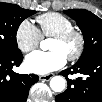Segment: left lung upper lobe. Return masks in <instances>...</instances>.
<instances>
[{"instance_id":"left-lung-upper-lobe-1","label":"left lung upper lobe","mask_w":102,"mask_h":102,"mask_svg":"<svg viewBox=\"0 0 102 102\" xmlns=\"http://www.w3.org/2000/svg\"><path fill=\"white\" fill-rule=\"evenodd\" d=\"M64 13L76 21L83 33L85 48L78 61L102 57V20L84 9H70Z\"/></svg>"}]
</instances>
